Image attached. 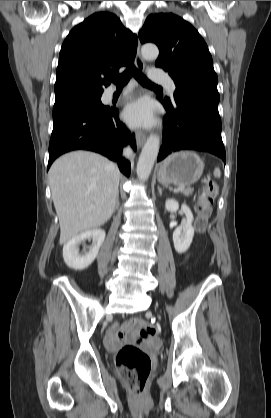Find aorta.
Wrapping results in <instances>:
<instances>
[{
    "label": "aorta",
    "mask_w": 271,
    "mask_h": 418,
    "mask_svg": "<svg viewBox=\"0 0 271 418\" xmlns=\"http://www.w3.org/2000/svg\"><path fill=\"white\" fill-rule=\"evenodd\" d=\"M141 54L146 60H154L159 55V50L154 44H145L141 48ZM160 149V139L157 135H150L147 139L137 162V176L141 181H146L152 171Z\"/></svg>",
    "instance_id": "762f6f07"
}]
</instances>
